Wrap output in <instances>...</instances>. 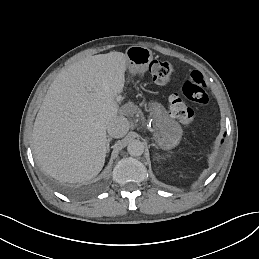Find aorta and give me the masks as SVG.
Wrapping results in <instances>:
<instances>
[{
	"instance_id": "obj_1",
	"label": "aorta",
	"mask_w": 259,
	"mask_h": 259,
	"mask_svg": "<svg viewBox=\"0 0 259 259\" xmlns=\"http://www.w3.org/2000/svg\"><path fill=\"white\" fill-rule=\"evenodd\" d=\"M127 150L131 156H141L144 152V144L139 140H132L129 142Z\"/></svg>"
}]
</instances>
